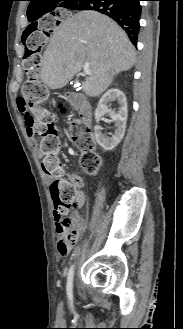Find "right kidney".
Masks as SVG:
<instances>
[{
	"label": "right kidney",
	"instance_id": "1",
	"mask_svg": "<svg viewBox=\"0 0 183 329\" xmlns=\"http://www.w3.org/2000/svg\"><path fill=\"white\" fill-rule=\"evenodd\" d=\"M113 101H117L119 105L117 111L108 109L107 104ZM105 114H109L111 121L115 124V131L111 137L104 135L102 133V128L98 125L101 117ZM127 114V100L122 91L113 88L104 93L95 111L97 125L94 127L95 139L104 150L110 151L114 149L123 139L126 129Z\"/></svg>",
	"mask_w": 183,
	"mask_h": 329
}]
</instances>
